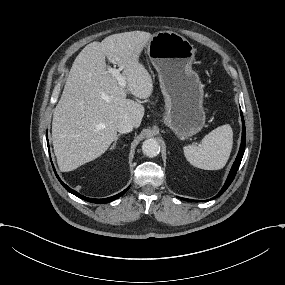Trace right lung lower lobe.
Returning a JSON list of instances; mask_svg holds the SVG:
<instances>
[{"label": "right lung lower lobe", "instance_id": "98d812e1", "mask_svg": "<svg viewBox=\"0 0 285 285\" xmlns=\"http://www.w3.org/2000/svg\"><path fill=\"white\" fill-rule=\"evenodd\" d=\"M48 149H49V144H48ZM58 180L60 181V183L65 187V189L67 191H69L70 193L74 194L75 196L85 200V201H89V202H92V203H108V202H111L115 199H117L118 197H120L121 195H123L129 188L125 189L124 191H122L121 193L117 194V195H114L112 197H108V198H104V199H93V198H88V197H85L81 194H79L78 192H76L75 190L69 188L66 184H64L60 178L58 177L57 173L55 172Z\"/></svg>", "mask_w": 285, "mask_h": 285}]
</instances>
